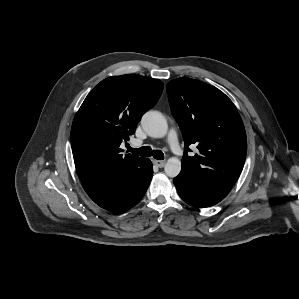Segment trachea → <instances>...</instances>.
Returning a JSON list of instances; mask_svg holds the SVG:
<instances>
[{"label": "trachea", "instance_id": "trachea-1", "mask_svg": "<svg viewBox=\"0 0 299 299\" xmlns=\"http://www.w3.org/2000/svg\"><path fill=\"white\" fill-rule=\"evenodd\" d=\"M127 149L129 152H131L135 155H138V156H144V157L153 156L157 160L164 159V154L161 150H152L150 146H143L138 149L127 146Z\"/></svg>", "mask_w": 299, "mask_h": 299}]
</instances>
